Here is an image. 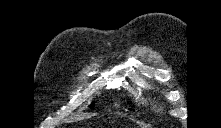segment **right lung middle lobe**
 I'll return each mask as SVG.
<instances>
[{
  "mask_svg": "<svg viewBox=\"0 0 221 128\" xmlns=\"http://www.w3.org/2000/svg\"><path fill=\"white\" fill-rule=\"evenodd\" d=\"M89 107L92 109L94 107V103H92Z\"/></svg>",
  "mask_w": 221,
  "mask_h": 128,
  "instance_id": "right-lung-middle-lobe-1",
  "label": "right lung middle lobe"
}]
</instances>
